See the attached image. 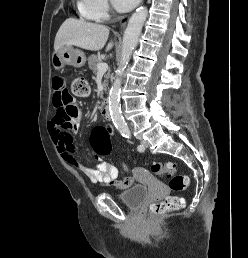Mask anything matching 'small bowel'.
Masks as SVG:
<instances>
[{"instance_id":"1","label":"small bowel","mask_w":248,"mask_h":258,"mask_svg":"<svg viewBox=\"0 0 248 258\" xmlns=\"http://www.w3.org/2000/svg\"><path fill=\"white\" fill-rule=\"evenodd\" d=\"M53 98L52 104L55 111L53 119L49 123V130L52 138L57 145L59 153L65 162L77 167L93 184H101L110 186L116 190H125L129 188L134 178L129 176L123 180H116L118 171L114 165L102 159H99L94 167L86 166L81 163L75 152V147L71 137V130L77 131L80 124V115L78 112L71 118V126L69 128L61 127L56 119V115L67 111L73 106V99L65 88L64 79L61 77L52 80Z\"/></svg>"}]
</instances>
